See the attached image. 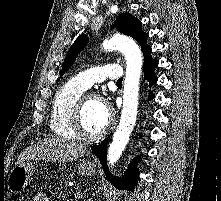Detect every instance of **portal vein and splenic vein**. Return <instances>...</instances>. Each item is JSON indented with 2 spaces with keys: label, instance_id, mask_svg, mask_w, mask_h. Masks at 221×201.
<instances>
[{
  "label": "portal vein and splenic vein",
  "instance_id": "obj_1",
  "mask_svg": "<svg viewBox=\"0 0 221 201\" xmlns=\"http://www.w3.org/2000/svg\"><path fill=\"white\" fill-rule=\"evenodd\" d=\"M74 197L76 198V199H82V194H79V193H76V194H74Z\"/></svg>",
  "mask_w": 221,
  "mask_h": 201
}]
</instances>
